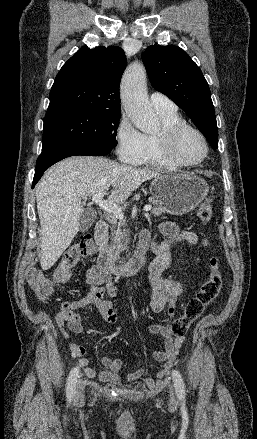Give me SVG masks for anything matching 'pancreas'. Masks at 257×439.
I'll list each match as a JSON object with an SVG mask.
<instances>
[{
    "label": "pancreas",
    "mask_w": 257,
    "mask_h": 439,
    "mask_svg": "<svg viewBox=\"0 0 257 439\" xmlns=\"http://www.w3.org/2000/svg\"><path fill=\"white\" fill-rule=\"evenodd\" d=\"M149 201L153 204V209L151 211L153 216H160V215L164 214L167 211L166 207L157 198L151 197L149 199ZM122 226H124L123 223H118L117 230H112V242H111V244H110V246L108 247V250H107L109 255L112 256V257H116L117 256V254L119 253L120 249L122 248L121 240L123 238H125V236L127 235L125 230H124V232H122V230H121Z\"/></svg>",
    "instance_id": "cf45deb5"
}]
</instances>
